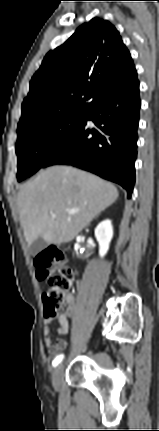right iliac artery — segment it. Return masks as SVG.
<instances>
[{
    "label": "right iliac artery",
    "instance_id": "obj_1",
    "mask_svg": "<svg viewBox=\"0 0 159 431\" xmlns=\"http://www.w3.org/2000/svg\"><path fill=\"white\" fill-rule=\"evenodd\" d=\"M64 358L63 354H60L58 356L55 357V359L53 360V366H57Z\"/></svg>",
    "mask_w": 159,
    "mask_h": 431
}]
</instances>
